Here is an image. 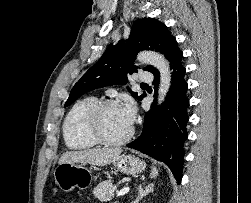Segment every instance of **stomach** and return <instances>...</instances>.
<instances>
[{
    "label": "stomach",
    "mask_w": 251,
    "mask_h": 203,
    "mask_svg": "<svg viewBox=\"0 0 251 203\" xmlns=\"http://www.w3.org/2000/svg\"><path fill=\"white\" fill-rule=\"evenodd\" d=\"M113 165L118 171L128 175L141 173L146 167L144 161L135 156L125 154L119 155L113 161ZM54 180L63 192H70L76 187L81 190L89 188L92 184L93 176L84 164L62 163L54 170Z\"/></svg>",
    "instance_id": "1"
}]
</instances>
